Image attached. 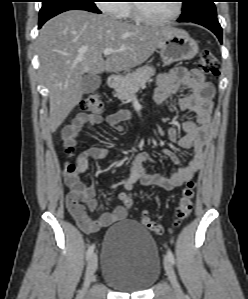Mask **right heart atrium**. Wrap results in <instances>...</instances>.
<instances>
[{
  "label": "right heart atrium",
  "mask_w": 248,
  "mask_h": 299,
  "mask_svg": "<svg viewBox=\"0 0 248 299\" xmlns=\"http://www.w3.org/2000/svg\"><path fill=\"white\" fill-rule=\"evenodd\" d=\"M99 9L107 14L121 15L124 13L122 3L119 0H99Z\"/></svg>",
  "instance_id": "right-heart-atrium-1"
}]
</instances>
